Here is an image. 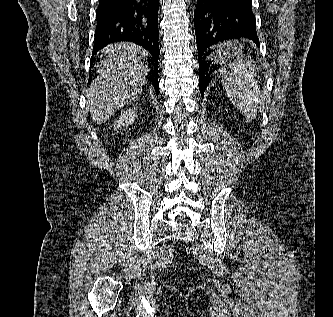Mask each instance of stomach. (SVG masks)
<instances>
[{
  "label": "stomach",
  "instance_id": "1",
  "mask_svg": "<svg viewBox=\"0 0 333 317\" xmlns=\"http://www.w3.org/2000/svg\"><path fill=\"white\" fill-rule=\"evenodd\" d=\"M214 52L218 55H210V62H225V69H239V62H252V55H242L244 45H239V41H222V45H214ZM225 71H218V82H256V81H223Z\"/></svg>",
  "mask_w": 333,
  "mask_h": 317
}]
</instances>
